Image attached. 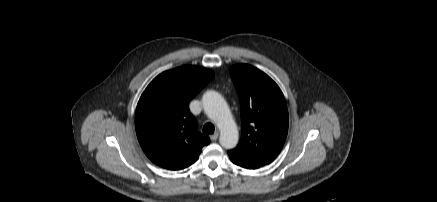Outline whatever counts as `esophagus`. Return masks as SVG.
I'll return each mask as SVG.
<instances>
[{
    "label": "esophagus",
    "instance_id": "esophagus-1",
    "mask_svg": "<svg viewBox=\"0 0 437 202\" xmlns=\"http://www.w3.org/2000/svg\"><path fill=\"white\" fill-rule=\"evenodd\" d=\"M218 137H219V133H214V134L210 135V139L212 141H216L218 139Z\"/></svg>",
    "mask_w": 437,
    "mask_h": 202
}]
</instances>
